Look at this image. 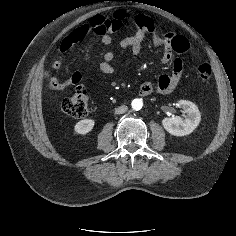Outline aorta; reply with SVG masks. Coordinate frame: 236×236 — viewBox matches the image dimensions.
Listing matches in <instances>:
<instances>
[{"label":"aorta","mask_w":236,"mask_h":236,"mask_svg":"<svg viewBox=\"0 0 236 236\" xmlns=\"http://www.w3.org/2000/svg\"><path fill=\"white\" fill-rule=\"evenodd\" d=\"M131 106L134 110H140L143 107V101L141 99H134L131 103Z\"/></svg>","instance_id":"1"}]
</instances>
